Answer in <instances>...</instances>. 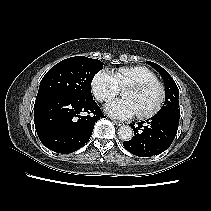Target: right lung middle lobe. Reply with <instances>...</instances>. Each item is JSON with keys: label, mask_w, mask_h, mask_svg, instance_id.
Masks as SVG:
<instances>
[{"label": "right lung middle lobe", "mask_w": 211, "mask_h": 211, "mask_svg": "<svg viewBox=\"0 0 211 211\" xmlns=\"http://www.w3.org/2000/svg\"><path fill=\"white\" fill-rule=\"evenodd\" d=\"M103 63L97 59L76 56L53 66L42 78L36 100L63 98L91 100V82Z\"/></svg>", "instance_id": "right-lung-middle-lobe-1"}]
</instances>
